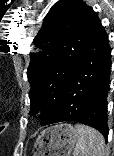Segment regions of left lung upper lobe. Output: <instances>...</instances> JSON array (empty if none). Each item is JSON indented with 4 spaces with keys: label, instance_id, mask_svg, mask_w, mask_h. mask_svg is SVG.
<instances>
[{
    "label": "left lung upper lobe",
    "instance_id": "obj_1",
    "mask_svg": "<svg viewBox=\"0 0 114 156\" xmlns=\"http://www.w3.org/2000/svg\"><path fill=\"white\" fill-rule=\"evenodd\" d=\"M98 18L82 0H60L50 9L30 54V114L42 105V125L59 110L65 90ZM41 102V103H40Z\"/></svg>",
    "mask_w": 114,
    "mask_h": 156
}]
</instances>
